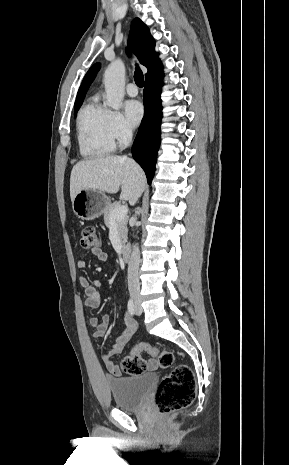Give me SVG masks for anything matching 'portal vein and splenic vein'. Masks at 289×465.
<instances>
[{
    "mask_svg": "<svg viewBox=\"0 0 289 465\" xmlns=\"http://www.w3.org/2000/svg\"><path fill=\"white\" fill-rule=\"evenodd\" d=\"M128 212V207L126 205L119 206L111 214V221L116 222L120 221L126 217Z\"/></svg>",
    "mask_w": 289,
    "mask_h": 465,
    "instance_id": "obj_1",
    "label": "portal vein and splenic vein"
}]
</instances>
